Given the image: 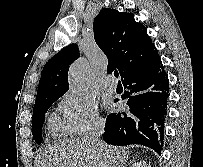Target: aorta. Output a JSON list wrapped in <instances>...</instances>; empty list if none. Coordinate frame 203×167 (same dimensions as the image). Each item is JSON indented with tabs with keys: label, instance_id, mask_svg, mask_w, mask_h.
Returning <instances> with one entry per match:
<instances>
[{
	"label": "aorta",
	"instance_id": "aorta-1",
	"mask_svg": "<svg viewBox=\"0 0 203 167\" xmlns=\"http://www.w3.org/2000/svg\"><path fill=\"white\" fill-rule=\"evenodd\" d=\"M70 89L80 95H84L89 90L90 66L86 59H80L73 63L69 70Z\"/></svg>",
	"mask_w": 203,
	"mask_h": 167
}]
</instances>
